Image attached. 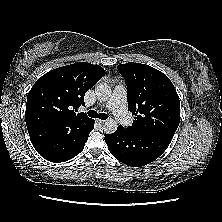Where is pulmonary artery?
I'll return each instance as SVG.
<instances>
[{
	"label": "pulmonary artery",
	"mask_w": 222,
	"mask_h": 222,
	"mask_svg": "<svg viewBox=\"0 0 222 222\" xmlns=\"http://www.w3.org/2000/svg\"><path fill=\"white\" fill-rule=\"evenodd\" d=\"M126 101V88L124 85L119 84L113 90L112 96L107 102L106 107L114 113L116 120L120 124L129 126L131 120L127 113Z\"/></svg>",
	"instance_id": "e3ab8cb5"
}]
</instances>
